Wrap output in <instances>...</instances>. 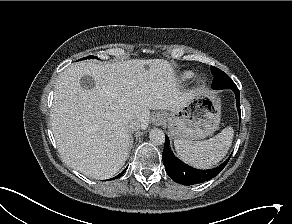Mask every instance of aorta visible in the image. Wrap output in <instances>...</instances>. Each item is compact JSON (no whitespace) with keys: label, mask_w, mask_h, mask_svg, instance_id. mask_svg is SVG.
<instances>
[{"label":"aorta","mask_w":292,"mask_h":224,"mask_svg":"<svg viewBox=\"0 0 292 224\" xmlns=\"http://www.w3.org/2000/svg\"><path fill=\"white\" fill-rule=\"evenodd\" d=\"M149 138L152 143L162 145L165 142V134L161 129H152L149 133Z\"/></svg>","instance_id":"762f6f07"}]
</instances>
